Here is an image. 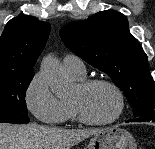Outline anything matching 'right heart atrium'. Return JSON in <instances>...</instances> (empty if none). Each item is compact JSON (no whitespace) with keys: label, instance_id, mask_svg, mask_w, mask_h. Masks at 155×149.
I'll return each mask as SVG.
<instances>
[{"label":"right heart atrium","instance_id":"obj_1","mask_svg":"<svg viewBox=\"0 0 155 149\" xmlns=\"http://www.w3.org/2000/svg\"><path fill=\"white\" fill-rule=\"evenodd\" d=\"M25 102L29 111L44 124L57 125L65 121L64 101L53 94L42 72L35 74L27 85Z\"/></svg>","mask_w":155,"mask_h":149}]
</instances>
